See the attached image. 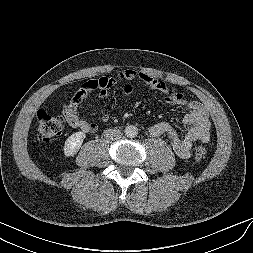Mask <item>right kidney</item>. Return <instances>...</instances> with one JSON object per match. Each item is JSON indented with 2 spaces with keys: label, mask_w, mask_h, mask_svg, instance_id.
Masks as SVG:
<instances>
[{
  "label": "right kidney",
  "mask_w": 253,
  "mask_h": 253,
  "mask_svg": "<svg viewBox=\"0 0 253 253\" xmlns=\"http://www.w3.org/2000/svg\"><path fill=\"white\" fill-rule=\"evenodd\" d=\"M85 137V133L81 131L73 133L71 136H69L63 147L64 155L66 157L74 156L79 151Z\"/></svg>",
  "instance_id": "right-kidney-1"
}]
</instances>
